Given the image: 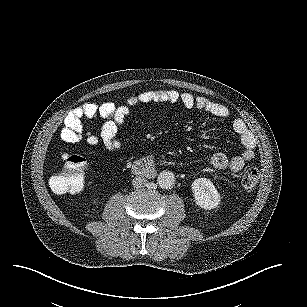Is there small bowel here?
Masks as SVG:
<instances>
[{
    "mask_svg": "<svg viewBox=\"0 0 307 307\" xmlns=\"http://www.w3.org/2000/svg\"><path fill=\"white\" fill-rule=\"evenodd\" d=\"M151 103H180L187 109L196 108L217 118H227L230 115L229 109L224 104L205 96H195L189 92L181 93L173 89L150 90L130 96L125 104L87 102L73 109L65 117L60 137L66 143H76L81 139L84 117L102 118L104 122L100 129L101 142L110 150L119 149L121 142L118 138V130L125 122L131 108ZM232 128L239 137L243 152L231 158L223 153H214L211 156V165L219 171L239 172L247 162L254 159L256 154L255 138L245 122L240 118H234Z\"/></svg>",
    "mask_w": 307,
    "mask_h": 307,
    "instance_id": "obj_1",
    "label": "small bowel"
}]
</instances>
